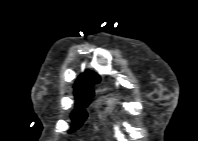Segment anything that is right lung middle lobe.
<instances>
[{
  "label": "right lung middle lobe",
  "mask_w": 198,
  "mask_h": 141,
  "mask_svg": "<svg viewBox=\"0 0 198 141\" xmlns=\"http://www.w3.org/2000/svg\"><path fill=\"white\" fill-rule=\"evenodd\" d=\"M92 86L79 87L75 89L76 108L72 113L74 128L70 131L78 129L86 119V111L84 108L89 104L90 98L93 96Z\"/></svg>",
  "instance_id": "obj_1"
}]
</instances>
